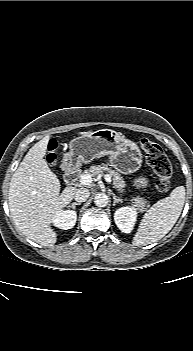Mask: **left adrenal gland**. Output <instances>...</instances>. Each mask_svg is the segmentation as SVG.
Masks as SVG:
<instances>
[{
	"label": "left adrenal gland",
	"mask_w": 193,
	"mask_h": 351,
	"mask_svg": "<svg viewBox=\"0 0 193 351\" xmlns=\"http://www.w3.org/2000/svg\"><path fill=\"white\" fill-rule=\"evenodd\" d=\"M112 197H113V205L115 206L116 203L122 202V199L117 197L114 193H112Z\"/></svg>",
	"instance_id": "obj_1"
}]
</instances>
